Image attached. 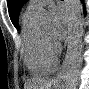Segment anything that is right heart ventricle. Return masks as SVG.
Masks as SVG:
<instances>
[{
  "instance_id": "obj_1",
  "label": "right heart ventricle",
  "mask_w": 89,
  "mask_h": 89,
  "mask_svg": "<svg viewBox=\"0 0 89 89\" xmlns=\"http://www.w3.org/2000/svg\"><path fill=\"white\" fill-rule=\"evenodd\" d=\"M22 39L24 62L33 75H47L52 72L57 60L50 55L41 38V30L35 23V13L26 11L22 16Z\"/></svg>"
}]
</instances>
